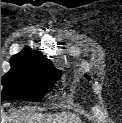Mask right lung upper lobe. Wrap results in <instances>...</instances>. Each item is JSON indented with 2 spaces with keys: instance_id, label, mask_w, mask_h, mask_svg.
Masks as SVG:
<instances>
[{
  "instance_id": "obj_1",
  "label": "right lung upper lobe",
  "mask_w": 122,
  "mask_h": 123,
  "mask_svg": "<svg viewBox=\"0 0 122 123\" xmlns=\"http://www.w3.org/2000/svg\"><path fill=\"white\" fill-rule=\"evenodd\" d=\"M10 63L21 64L36 68H55L52 62L46 59L41 52L25 47L21 52L12 56Z\"/></svg>"
}]
</instances>
